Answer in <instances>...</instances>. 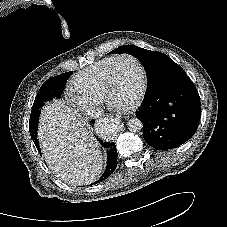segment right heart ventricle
Masks as SVG:
<instances>
[{"instance_id":"e07e8e85","label":"right heart ventricle","mask_w":227,"mask_h":227,"mask_svg":"<svg viewBox=\"0 0 227 227\" xmlns=\"http://www.w3.org/2000/svg\"><path fill=\"white\" fill-rule=\"evenodd\" d=\"M117 56H108L78 73L73 80L75 91L86 98L100 102L104 98L107 72Z\"/></svg>"}]
</instances>
